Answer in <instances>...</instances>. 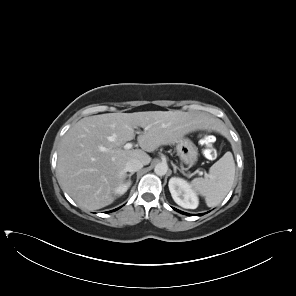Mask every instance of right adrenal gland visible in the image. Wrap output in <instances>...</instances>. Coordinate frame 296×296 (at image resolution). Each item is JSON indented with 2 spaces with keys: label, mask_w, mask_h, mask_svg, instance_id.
<instances>
[{
  "label": "right adrenal gland",
  "mask_w": 296,
  "mask_h": 296,
  "mask_svg": "<svg viewBox=\"0 0 296 296\" xmlns=\"http://www.w3.org/2000/svg\"><path fill=\"white\" fill-rule=\"evenodd\" d=\"M134 174V172L130 173V174H126V177L129 178V180H131V176Z\"/></svg>",
  "instance_id": "2a0ac1e0"
}]
</instances>
